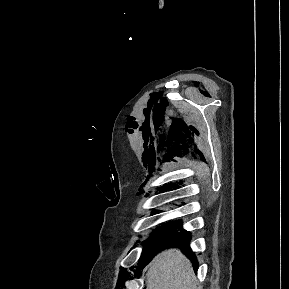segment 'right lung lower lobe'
I'll list each match as a JSON object with an SVG mask.
<instances>
[{
  "label": "right lung lower lobe",
  "mask_w": 289,
  "mask_h": 289,
  "mask_svg": "<svg viewBox=\"0 0 289 289\" xmlns=\"http://www.w3.org/2000/svg\"><path fill=\"white\" fill-rule=\"evenodd\" d=\"M191 238L190 233L183 231L178 234H174L172 236H155L149 238L144 242L146 247L143 250V254L140 258V263L145 265L148 263L154 255H156L159 251L165 249L169 246H177L181 249L189 248V239ZM190 258L194 264L197 265V261L195 260L194 255H190Z\"/></svg>",
  "instance_id": "1"
}]
</instances>
